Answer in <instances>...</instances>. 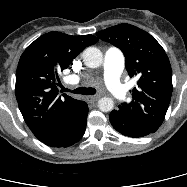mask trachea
<instances>
[{"label":"trachea","mask_w":187,"mask_h":187,"mask_svg":"<svg viewBox=\"0 0 187 187\" xmlns=\"http://www.w3.org/2000/svg\"><path fill=\"white\" fill-rule=\"evenodd\" d=\"M63 91L66 92H71V93H75V94H82V95H93L96 93V90L94 88H86V87H80V88H76L74 90H70L68 88H64L62 87Z\"/></svg>","instance_id":"obj_1"}]
</instances>
